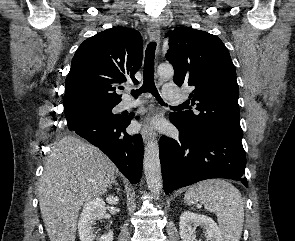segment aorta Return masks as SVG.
Listing matches in <instances>:
<instances>
[{"label":"aorta","instance_id":"obj_1","mask_svg":"<svg viewBox=\"0 0 295 241\" xmlns=\"http://www.w3.org/2000/svg\"><path fill=\"white\" fill-rule=\"evenodd\" d=\"M157 72L162 78H172L174 75V69L169 64L159 65ZM144 173L149 190L153 194H159L162 190V174L157 140H150L145 147Z\"/></svg>","mask_w":295,"mask_h":241}]
</instances>
